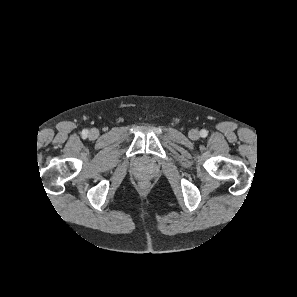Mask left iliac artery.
<instances>
[{
  "label": "left iliac artery",
  "instance_id": "44dca946",
  "mask_svg": "<svg viewBox=\"0 0 297 297\" xmlns=\"http://www.w3.org/2000/svg\"><path fill=\"white\" fill-rule=\"evenodd\" d=\"M207 135H208V131L207 130L203 129V130L200 131V136L201 137L205 138V137H207Z\"/></svg>",
  "mask_w": 297,
  "mask_h": 297
}]
</instances>
